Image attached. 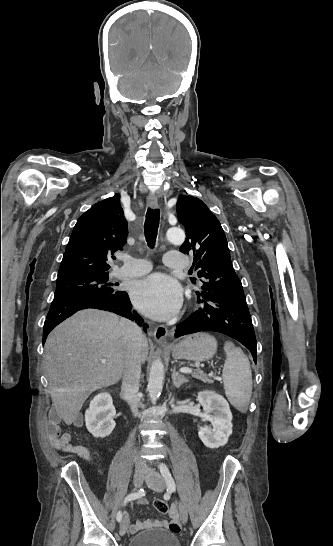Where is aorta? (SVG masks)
<instances>
[{
  "instance_id": "obj_1",
  "label": "aorta",
  "mask_w": 333,
  "mask_h": 546,
  "mask_svg": "<svg viewBox=\"0 0 333 546\" xmlns=\"http://www.w3.org/2000/svg\"><path fill=\"white\" fill-rule=\"evenodd\" d=\"M166 239L173 244L180 245L185 240V234L183 230L179 228H171L166 232ZM163 380L164 366L162 361L157 359L151 366L147 387L152 402H156V400L159 398L163 389Z\"/></svg>"
}]
</instances>
